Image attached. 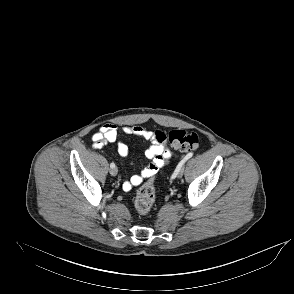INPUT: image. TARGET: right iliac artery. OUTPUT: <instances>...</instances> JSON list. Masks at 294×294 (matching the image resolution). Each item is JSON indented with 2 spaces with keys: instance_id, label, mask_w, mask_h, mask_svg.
Masks as SVG:
<instances>
[{
  "instance_id": "82829eb1",
  "label": "right iliac artery",
  "mask_w": 294,
  "mask_h": 294,
  "mask_svg": "<svg viewBox=\"0 0 294 294\" xmlns=\"http://www.w3.org/2000/svg\"><path fill=\"white\" fill-rule=\"evenodd\" d=\"M110 167H111V168H114V167H115V164H114V163H111V164H110Z\"/></svg>"
}]
</instances>
